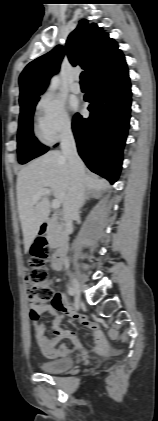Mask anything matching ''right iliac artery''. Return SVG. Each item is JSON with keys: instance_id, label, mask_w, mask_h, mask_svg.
<instances>
[{"instance_id": "right-iliac-artery-1", "label": "right iliac artery", "mask_w": 158, "mask_h": 421, "mask_svg": "<svg viewBox=\"0 0 158 421\" xmlns=\"http://www.w3.org/2000/svg\"><path fill=\"white\" fill-rule=\"evenodd\" d=\"M67 288H68V293H69V295L73 296V295L75 294V292H74L73 288H72V287H70V286H67Z\"/></svg>"}]
</instances>
